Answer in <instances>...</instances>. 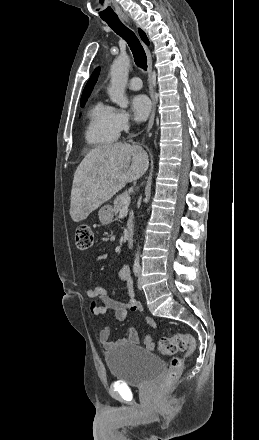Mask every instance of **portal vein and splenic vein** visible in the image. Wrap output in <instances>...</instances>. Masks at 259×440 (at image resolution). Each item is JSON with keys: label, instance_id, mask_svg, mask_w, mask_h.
Masks as SVG:
<instances>
[{"label": "portal vein and splenic vein", "instance_id": "portal-vein-and-splenic-vein-1", "mask_svg": "<svg viewBox=\"0 0 259 440\" xmlns=\"http://www.w3.org/2000/svg\"><path fill=\"white\" fill-rule=\"evenodd\" d=\"M130 200H131V199H130V196L124 197V198L122 199V203H123V205H125V206L129 205Z\"/></svg>", "mask_w": 259, "mask_h": 440}]
</instances>
